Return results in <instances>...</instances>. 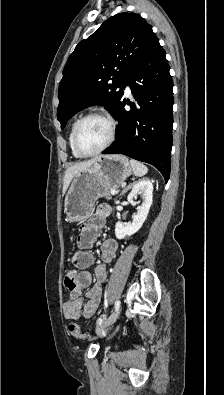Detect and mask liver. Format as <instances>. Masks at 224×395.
<instances>
[{"mask_svg": "<svg viewBox=\"0 0 224 395\" xmlns=\"http://www.w3.org/2000/svg\"><path fill=\"white\" fill-rule=\"evenodd\" d=\"M102 156L95 157L93 159H90L88 161H83L80 163H77L69 168H67L64 176V181H63V194L67 191L73 177L79 172L87 167H90L93 165L96 161H98Z\"/></svg>", "mask_w": 224, "mask_h": 395, "instance_id": "liver-1", "label": "liver"}]
</instances>
